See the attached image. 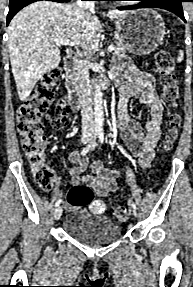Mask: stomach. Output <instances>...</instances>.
I'll return each mask as SVG.
<instances>
[{
	"mask_svg": "<svg viewBox=\"0 0 193 287\" xmlns=\"http://www.w3.org/2000/svg\"><path fill=\"white\" fill-rule=\"evenodd\" d=\"M166 32L163 18L152 9L129 12L115 21V36L129 52L147 55L162 42Z\"/></svg>",
	"mask_w": 193,
	"mask_h": 287,
	"instance_id": "1",
	"label": "stomach"
}]
</instances>
